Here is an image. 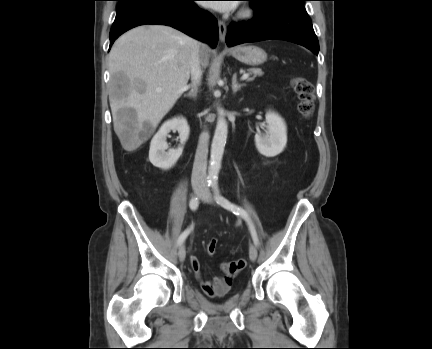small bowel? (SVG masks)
<instances>
[{"instance_id": "small-bowel-1", "label": "small bowel", "mask_w": 432, "mask_h": 349, "mask_svg": "<svg viewBox=\"0 0 432 349\" xmlns=\"http://www.w3.org/2000/svg\"><path fill=\"white\" fill-rule=\"evenodd\" d=\"M190 262L196 277L201 281L202 289L207 294H218L227 290L230 287L232 279L226 276H216L211 281L202 280L201 266L199 260L195 256H191Z\"/></svg>"}]
</instances>
